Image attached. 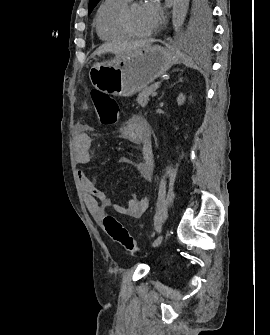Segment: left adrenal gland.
Masks as SVG:
<instances>
[{
    "label": "left adrenal gland",
    "instance_id": "a2214340",
    "mask_svg": "<svg viewBox=\"0 0 270 335\" xmlns=\"http://www.w3.org/2000/svg\"><path fill=\"white\" fill-rule=\"evenodd\" d=\"M178 82H182V78H179ZM178 82H177V84H178Z\"/></svg>",
    "mask_w": 270,
    "mask_h": 335
}]
</instances>
